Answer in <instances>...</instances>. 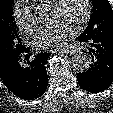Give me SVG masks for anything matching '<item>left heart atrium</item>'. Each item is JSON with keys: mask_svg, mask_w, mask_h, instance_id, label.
<instances>
[{"mask_svg": "<svg viewBox=\"0 0 113 113\" xmlns=\"http://www.w3.org/2000/svg\"><path fill=\"white\" fill-rule=\"evenodd\" d=\"M74 34V27L63 21H55L42 28L34 37V46L38 50L53 51L63 48Z\"/></svg>", "mask_w": 113, "mask_h": 113, "instance_id": "39dd6f15", "label": "left heart atrium"}]
</instances>
